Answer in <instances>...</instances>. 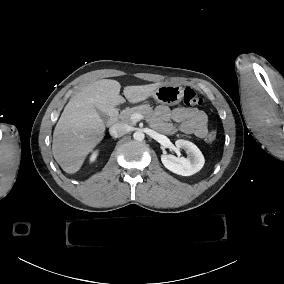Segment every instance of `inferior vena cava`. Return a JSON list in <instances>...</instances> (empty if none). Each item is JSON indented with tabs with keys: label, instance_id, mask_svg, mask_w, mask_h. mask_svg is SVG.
<instances>
[{
	"label": "inferior vena cava",
	"instance_id": "1",
	"mask_svg": "<svg viewBox=\"0 0 284 284\" xmlns=\"http://www.w3.org/2000/svg\"><path fill=\"white\" fill-rule=\"evenodd\" d=\"M109 131H110V135L113 138H118V137H121V136L125 135L126 133H128L129 127H128V125H126L124 123L118 122V123H115L114 125H112L110 127Z\"/></svg>",
	"mask_w": 284,
	"mask_h": 284
}]
</instances>
